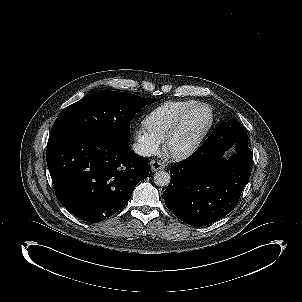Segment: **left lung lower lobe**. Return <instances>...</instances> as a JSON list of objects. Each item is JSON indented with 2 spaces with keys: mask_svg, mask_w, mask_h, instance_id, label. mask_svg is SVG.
I'll list each match as a JSON object with an SVG mask.
<instances>
[{
  "mask_svg": "<svg viewBox=\"0 0 302 302\" xmlns=\"http://www.w3.org/2000/svg\"><path fill=\"white\" fill-rule=\"evenodd\" d=\"M225 150L202 144L186 160L175 163L162 198L168 209L192 226L209 225L237 205L251 175L252 153L247 143L228 161Z\"/></svg>",
  "mask_w": 302,
  "mask_h": 302,
  "instance_id": "obj_1",
  "label": "left lung lower lobe"
}]
</instances>
